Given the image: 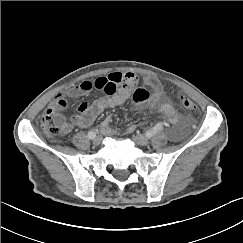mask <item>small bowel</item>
Masks as SVG:
<instances>
[{
    "instance_id": "1",
    "label": "small bowel",
    "mask_w": 243,
    "mask_h": 243,
    "mask_svg": "<svg viewBox=\"0 0 243 243\" xmlns=\"http://www.w3.org/2000/svg\"><path fill=\"white\" fill-rule=\"evenodd\" d=\"M138 79L133 73H111L107 76H99L95 79H86L77 85L61 92L52 101L46 112L52 111L56 114V122L63 121L64 133L69 132L73 126L80 128L89 127L96 118L104 111L118 107L125 103L131 97V91L137 84ZM145 82L153 89L152 100L154 104H158L162 96V87L160 83L153 78H146ZM92 90H98L102 96L92 102H81L76 111L77 113L71 117L70 123H66L64 117L59 111L66 106V97L78 98L89 94ZM149 99V93L141 88L135 89L132 94V101L135 104H141ZM159 110L165 114L169 122L175 124L179 121V116L175 109L168 103L159 105ZM104 131H109V122L105 120L101 124ZM135 130L134 125L127 127L128 132Z\"/></svg>"
}]
</instances>
